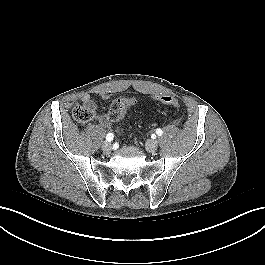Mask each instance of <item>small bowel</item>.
<instances>
[{"mask_svg":"<svg viewBox=\"0 0 265 265\" xmlns=\"http://www.w3.org/2000/svg\"><path fill=\"white\" fill-rule=\"evenodd\" d=\"M165 96V95H157L156 96V100L161 101V97ZM80 100L82 101L83 104L88 105L90 107H92L93 109H95L96 104L95 101L93 99V97L89 94H84L80 97ZM98 125L102 128L108 127L110 125V120L108 118L107 115H101L98 117Z\"/></svg>","mask_w":265,"mask_h":265,"instance_id":"small-bowel-1","label":"small bowel"}]
</instances>
